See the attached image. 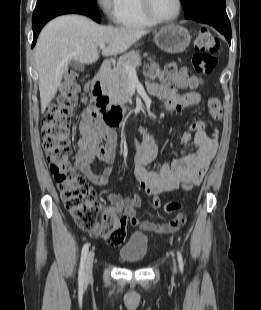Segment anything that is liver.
Returning a JSON list of instances; mask_svg holds the SVG:
<instances>
[{
    "mask_svg": "<svg viewBox=\"0 0 261 310\" xmlns=\"http://www.w3.org/2000/svg\"><path fill=\"white\" fill-rule=\"evenodd\" d=\"M148 31L101 26L80 15H63L50 21L41 31L35 47V65L39 75L41 111L55 97L71 60L92 64L104 56L126 52Z\"/></svg>",
    "mask_w": 261,
    "mask_h": 310,
    "instance_id": "6515ba94",
    "label": "liver"
}]
</instances>
